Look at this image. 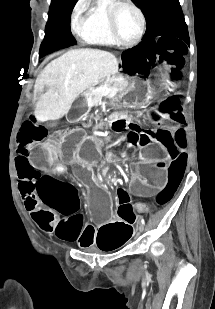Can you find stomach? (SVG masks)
Returning a JSON list of instances; mask_svg holds the SVG:
<instances>
[{
	"mask_svg": "<svg viewBox=\"0 0 215 309\" xmlns=\"http://www.w3.org/2000/svg\"><path fill=\"white\" fill-rule=\"evenodd\" d=\"M169 86L173 87L174 83L170 81L167 73H161L154 81L135 79L124 91L121 93V97H124L127 101L143 100L150 92L155 89H166Z\"/></svg>",
	"mask_w": 215,
	"mask_h": 309,
	"instance_id": "0dacf381",
	"label": "stomach"
}]
</instances>
